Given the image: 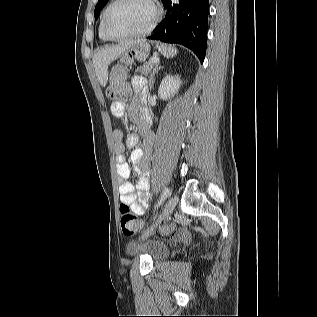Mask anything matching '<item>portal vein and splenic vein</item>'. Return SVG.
<instances>
[{"label":"portal vein and splenic vein","instance_id":"obj_1","mask_svg":"<svg viewBox=\"0 0 317 317\" xmlns=\"http://www.w3.org/2000/svg\"><path fill=\"white\" fill-rule=\"evenodd\" d=\"M151 62L154 63V64H157L159 62V58L154 57V58L151 59Z\"/></svg>","mask_w":317,"mask_h":317}]
</instances>
